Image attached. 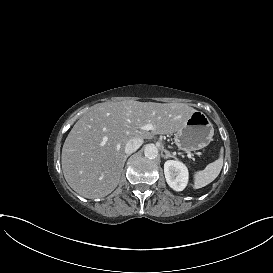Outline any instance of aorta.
I'll list each match as a JSON object with an SVG mask.
<instances>
[{
    "instance_id": "aorta-1",
    "label": "aorta",
    "mask_w": 273,
    "mask_h": 273,
    "mask_svg": "<svg viewBox=\"0 0 273 273\" xmlns=\"http://www.w3.org/2000/svg\"><path fill=\"white\" fill-rule=\"evenodd\" d=\"M144 154L149 159H155L158 156V148L154 144H147L144 148Z\"/></svg>"
}]
</instances>
